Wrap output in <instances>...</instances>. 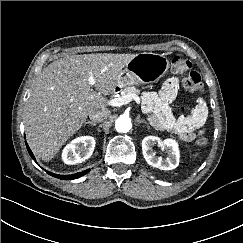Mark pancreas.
<instances>
[{"label": "pancreas", "mask_w": 243, "mask_h": 243, "mask_svg": "<svg viewBox=\"0 0 243 243\" xmlns=\"http://www.w3.org/2000/svg\"><path fill=\"white\" fill-rule=\"evenodd\" d=\"M129 94H136L139 95L140 94V90H138L136 87L134 86H130V87H126L123 89V93L122 95H129ZM142 98H144V96H141Z\"/></svg>", "instance_id": "cf45deb5"}]
</instances>
